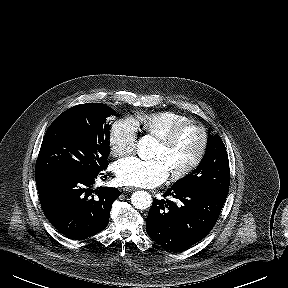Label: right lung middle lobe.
<instances>
[{"instance_id": "dd1d6c3e", "label": "right lung middle lobe", "mask_w": 288, "mask_h": 288, "mask_svg": "<svg viewBox=\"0 0 288 288\" xmlns=\"http://www.w3.org/2000/svg\"><path fill=\"white\" fill-rule=\"evenodd\" d=\"M113 109L100 103L80 104L60 114L48 128L35 175L66 173L94 177L107 167Z\"/></svg>"}]
</instances>
